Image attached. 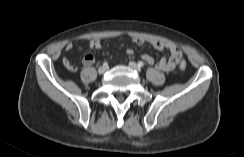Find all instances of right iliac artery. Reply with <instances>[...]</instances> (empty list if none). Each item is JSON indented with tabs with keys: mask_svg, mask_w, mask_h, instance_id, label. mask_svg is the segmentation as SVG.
Wrapping results in <instances>:
<instances>
[{
	"mask_svg": "<svg viewBox=\"0 0 244 157\" xmlns=\"http://www.w3.org/2000/svg\"><path fill=\"white\" fill-rule=\"evenodd\" d=\"M108 65V63L105 61L104 63H103V66H107Z\"/></svg>",
	"mask_w": 244,
	"mask_h": 157,
	"instance_id": "obj_1",
	"label": "right iliac artery"
}]
</instances>
